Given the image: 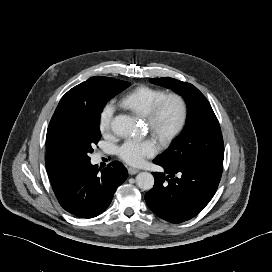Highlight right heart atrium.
Returning <instances> with one entry per match:
<instances>
[{
    "mask_svg": "<svg viewBox=\"0 0 272 272\" xmlns=\"http://www.w3.org/2000/svg\"><path fill=\"white\" fill-rule=\"evenodd\" d=\"M113 113H114V105L111 102L106 103L101 109L99 119H98V127H99V131L102 134H106L110 131Z\"/></svg>",
    "mask_w": 272,
    "mask_h": 272,
    "instance_id": "1",
    "label": "right heart atrium"
}]
</instances>
